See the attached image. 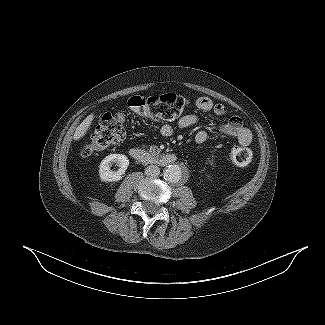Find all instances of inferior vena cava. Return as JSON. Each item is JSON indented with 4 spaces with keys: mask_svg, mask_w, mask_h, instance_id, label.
Masks as SVG:
<instances>
[{
    "mask_svg": "<svg viewBox=\"0 0 325 325\" xmlns=\"http://www.w3.org/2000/svg\"><path fill=\"white\" fill-rule=\"evenodd\" d=\"M160 174L159 167L155 165H150L145 169V175L151 178H155Z\"/></svg>",
    "mask_w": 325,
    "mask_h": 325,
    "instance_id": "1",
    "label": "inferior vena cava"
}]
</instances>
